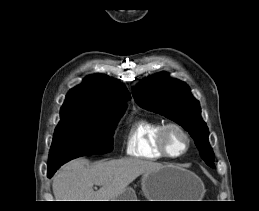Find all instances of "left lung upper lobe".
Wrapping results in <instances>:
<instances>
[{
	"instance_id": "5c2ea615",
	"label": "left lung upper lobe",
	"mask_w": 259,
	"mask_h": 211,
	"mask_svg": "<svg viewBox=\"0 0 259 211\" xmlns=\"http://www.w3.org/2000/svg\"><path fill=\"white\" fill-rule=\"evenodd\" d=\"M132 93L143 108L160 113L187 130L201 158L208 166L215 167V156L208 142L209 132L202 120L199 102L184 82L160 73L142 81Z\"/></svg>"
}]
</instances>
